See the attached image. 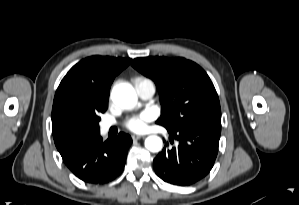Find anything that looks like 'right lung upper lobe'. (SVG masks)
<instances>
[{"label":"right lung upper lobe","mask_w":299,"mask_h":205,"mask_svg":"<svg viewBox=\"0 0 299 205\" xmlns=\"http://www.w3.org/2000/svg\"><path fill=\"white\" fill-rule=\"evenodd\" d=\"M130 62V58L91 56L66 74L56 91L52 108L53 138L60 154L71 147L61 134L62 121L73 113L105 112L110 86Z\"/></svg>","instance_id":"cb5924a9"}]
</instances>
